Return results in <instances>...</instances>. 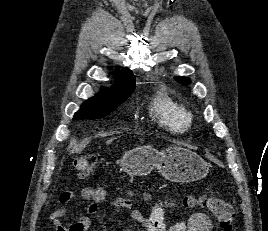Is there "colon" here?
Segmentation results:
<instances>
[{"instance_id": "5ec220e1", "label": "colon", "mask_w": 268, "mask_h": 231, "mask_svg": "<svg viewBox=\"0 0 268 231\" xmlns=\"http://www.w3.org/2000/svg\"><path fill=\"white\" fill-rule=\"evenodd\" d=\"M96 159L92 155H82L74 161V169L79 177H87L93 170ZM187 208L201 207L211 212L218 220L223 231L234 229L235 213L233 207L226 201L212 196L189 194L183 198Z\"/></svg>"}]
</instances>
